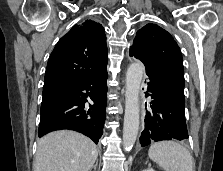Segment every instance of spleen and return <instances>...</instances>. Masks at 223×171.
Wrapping results in <instances>:
<instances>
[{
    "instance_id": "3e777b00",
    "label": "spleen",
    "mask_w": 223,
    "mask_h": 171,
    "mask_svg": "<svg viewBox=\"0 0 223 171\" xmlns=\"http://www.w3.org/2000/svg\"><path fill=\"white\" fill-rule=\"evenodd\" d=\"M148 156L165 171H194L193 159L188 149L173 141L152 144Z\"/></svg>"
}]
</instances>
